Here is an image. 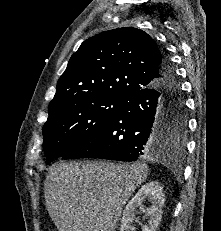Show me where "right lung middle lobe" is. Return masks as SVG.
Returning <instances> with one entry per match:
<instances>
[{
	"instance_id": "1",
	"label": "right lung middle lobe",
	"mask_w": 221,
	"mask_h": 231,
	"mask_svg": "<svg viewBox=\"0 0 221 231\" xmlns=\"http://www.w3.org/2000/svg\"><path fill=\"white\" fill-rule=\"evenodd\" d=\"M124 101L116 96H90L70 102L50 115L42 130L47 163L63 157L99 130ZM164 122V137L170 140V144L182 149L187 128L183 100L178 105H167Z\"/></svg>"
}]
</instances>
